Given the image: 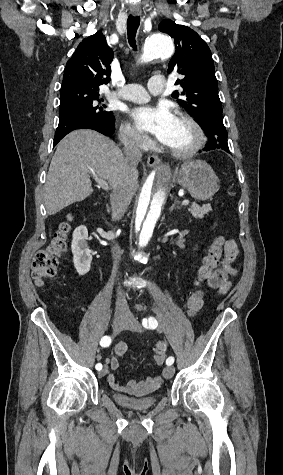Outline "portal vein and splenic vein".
Segmentation results:
<instances>
[{
    "mask_svg": "<svg viewBox=\"0 0 283 475\" xmlns=\"http://www.w3.org/2000/svg\"><path fill=\"white\" fill-rule=\"evenodd\" d=\"M94 178H97V176H94ZM98 184L99 186H101V188H103V190H108L109 188L107 182H104V180H98ZM188 204L189 200H183L182 206H188Z\"/></svg>",
    "mask_w": 283,
    "mask_h": 475,
    "instance_id": "portal-vein-and-splenic-vein-1",
    "label": "portal vein and splenic vein"
}]
</instances>
